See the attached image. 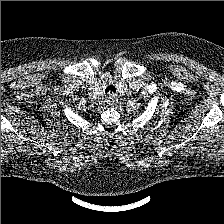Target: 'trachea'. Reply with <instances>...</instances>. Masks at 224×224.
I'll list each match as a JSON object with an SVG mask.
<instances>
[{
    "mask_svg": "<svg viewBox=\"0 0 224 224\" xmlns=\"http://www.w3.org/2000/svg\"><path fill=\"white\" fill-rule=\"evenodd\" d=\"M106 94L110 93H115L116 92V88L113 85H109L106 89H105Z\"/></svg>",
    "mask_w": 224,
    "mask_h": 224,
    "instance_id": "3493384b",
    "label": "trachea"
}]
</instances>
